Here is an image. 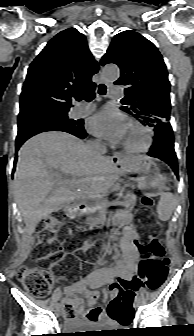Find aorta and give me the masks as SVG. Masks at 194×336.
Here are the masks:
<instances>
[{
    "mask_svg": "<svg viewBox=\"0 0 194 336\" xmlns=\"http://www.w3.org/2000/svg\"><path fill=\"white\" fill-rule=\"evenodd\" d=\"M102 76L109 81H114L119 77V69L116 65H106L102 69Z\"/></svg>",
    "mask_w": 194,
    "mask_h": 336,
    "instance_id": "obj_1",
    "label": "aorta"
}]
</instances>
